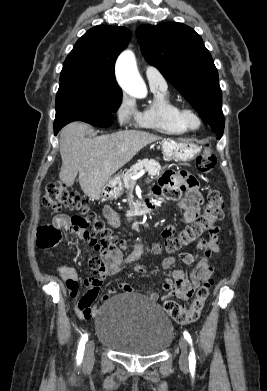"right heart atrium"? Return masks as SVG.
<instances>
[{"mask_svg":"<svg viewBox=\"0 0 267 391\" xmlns=\"http://www.w3.org/2000/svg\"><path fill=\"white\" fill-rule=\"evenodd\" d=\"M115 116L120 125H126L137 119L138 111L134 101L127 96H123L115 109Z\"/></svg>","mask_w":267,"mask_h":391,"instance_id":"obj_1","label":"right heart atrium"}]
</instances>
